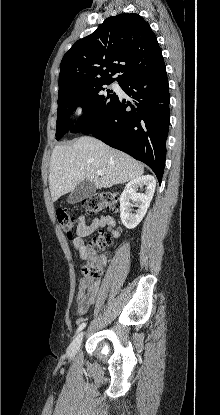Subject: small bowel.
Instances as JSON below:
<instances>
[{
    "label": "small bowel",
    "instance_id": "c3829d8e",
    "mask_svg": "<svg viewBox=\"0 0 220 415\" xmlns=\"http://www.w3.org/2000/svg\"><path fill=\"white\" fill-rule=\"evenodd\" d=\"M104 229H107L114 236H117L115 220L112 216L96 217L88 221L83 215L77 217L75 236H73L72 233H68V237L74 247L78 250L82 259L87 258L85 239L96 232L103 234ZM98 294V282L89 281L84 278L81 279L75 296L77 314L80 316L86 314L90 307L95 303Z\"/></svg>",
    "mask_w": 220,
    "mask_h": 415
}]
</instances>
